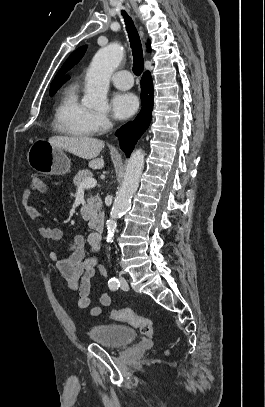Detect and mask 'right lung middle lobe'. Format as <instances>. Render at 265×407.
I'll return each instance as SVG.
<instances>
[{
	"instance_id": "obj_1",
	"label": "right lung middle lobe",
	"mask_w": 265,
	"mask_h": 407,
	"mask_svg": "<svg viewBox=\"0 0 265 407\" xmlns=\"http://www.w3.org/2000/svg\"><path fill=\"white\" fill-rule=\"evenodd\" d=\"M62 84H58V85H51V89H50V95H53L60 87Z\"/></svg>"
}]
</instances>
